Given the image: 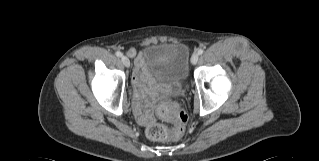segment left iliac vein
<instances>
[{"label": "left iliac vein", "instance_id": "left-iliac-vein-1", "mask_svg": "<svg viewBox=\"0 0 319 161\" xmlns=\"http://www.w3.org/2000/svg\"><path fill=\"white\" fill-rule=\"evenodd\" d=\"M198 58H199L198 54H197V53H194V54L192 55V57H191V63H192V64H196L197 61H198Z\"/></svg>", "mask_w": 319, "mask_h": 161}]
</instances>
